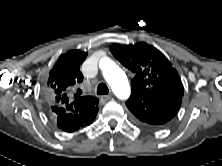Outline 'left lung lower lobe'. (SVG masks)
<instances>
[{
	"label": "left lung lower lobe",
	"instance_id": "1",
	"mask_svg": "<svg viewBox=\"0 0 222 166\" xmlns=\"http://www.w3.org/2000/svg\"><path fill=\"white\" fill-rule=\"evenodd\" d=\"M182 96L159 94L155 98L131 95L126 106L134 124L145 129H157L167 124L178 112Z\"/></svg>",
	"mask_w": 222,
	"mask_h": 166
}]
</instances>
